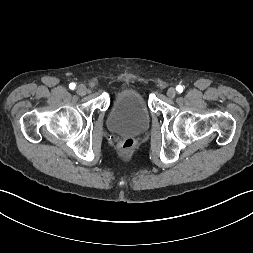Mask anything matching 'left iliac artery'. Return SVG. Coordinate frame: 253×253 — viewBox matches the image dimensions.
<instances>
[{
    "label": "left iliac artery",
    "mask_w": 253,
    "mask_h": 253,
    "mask_svg": "<svg viewBox=\"0 0 253 253\" xmlns=\"http://www.w3.org/2000/svg\"><path fill=\"white\" fill-rule=\"evenodd\" d=\"M176 90H177V92H179V93L183 92V86L178 85V86L176 87Z\"/></svg>",
    "instance_id": "left-iliac-artery-1"
}]
</instances>
